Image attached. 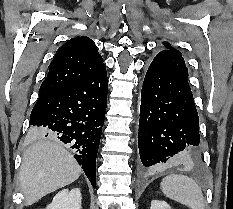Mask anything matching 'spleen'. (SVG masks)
<instances>
[{
	"label": "spleen",
	"instance_id": "3e777b00",
	"mask_svg": "<svg viewBox=\"0 0 233 209\" xmlns=\"http://www.w3.org/2000/svg\"><path fill=\"white\" fill-rule=\"evenodd\" d=\"M162 192L191 209H205L203 194L197 183L184 175H169L160 184Z\"/></svg>",
	"mask_w": 233,
	"mask_h": 209
}]
</instances>
